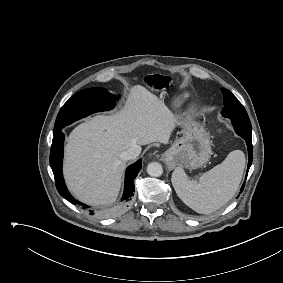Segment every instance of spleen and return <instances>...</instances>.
Masks as SVG:
<instances>
[{"instance_id": "3e777b00", "label": "spleen", "mask_w": 283, "mask_h": 283, "mask_svg": "<svg viewBox=\"0 0 283 283\" xmlns=\"http://www.w3.org/2000/svg\"><path fill=\"white\" fill-rule=\"evenodd\" d=\"M245 167L240 150L230 152L225 160L204 173L199 181L190 180L181 167L172 174L178 197L192 210L209 214L226 204L238 190Z\"/></svg>"}]
</instances>
